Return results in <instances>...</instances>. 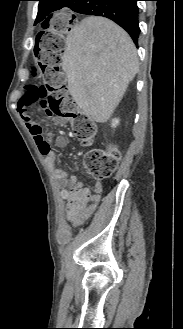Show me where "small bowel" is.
I'll return each mask as SVG.
<instances>
[{
  "instance_id": "1",
  "label": "small bowel",
  "mask_w": 183,
  "mask_h": 329,
  "mask_svg": "<svg viewBox=\"0 0 183 329\" xmlns=\"http://www.w3.org/2000/svg\"><path fill=\"white\" fill-rule=\"evenodd\" d=\"M20 117L27 127L30 135L32 136L35 144L37 145L39 152L45 157V161L48 164L53 163L55 159V153L52 146L57 148L63 147L66 144V137H57L53 144L48 141L50 144V149L46 153H43L40 149V145L42 140L46 138L43 135L41 126L35 122L30 114H20ZM69 181L72 185V189L78 191L81 196L79 204H74L70 201L67 204V217L71 223L77 225L87 220L97 209L100 202L102 185L101 183H96L94 185V193H91L89 189L84 187L83 182L80 181L76 176H70Z\"/></svg>"
}]
</instances>
